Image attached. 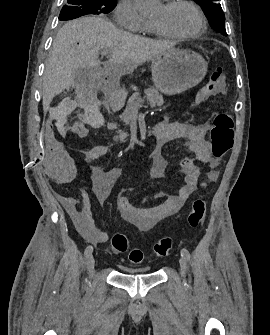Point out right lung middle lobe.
I'll list each match as a JSON object with an SVG mask.
<instances>
[{
    "mask_svg": "<svg viewBox=\"0 0 270 335\" xmlns=\"http://www.w3.org/2000/svg\"><path fill=\"white\" fill-rule=\"evenodd\" d=\"M117 0H67L62 7L59 20L66 21L84 15L107 14L114 9Z\"/></svg>",
    "mask_w": 270,
    "mask_h": 335,
    "instance_id": "right-lung-middle-lobe-1",
    "label": "right lung middle lobe"
}]
</instances>
